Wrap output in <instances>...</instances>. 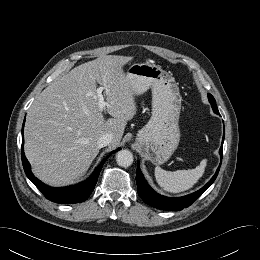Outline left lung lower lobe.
<instances>
[{"label":"left lung lower lobe","instance_id":"obj_1","mask_svg":"<svg viewBox=\"0 0 260 260\" xmlns=\"http://www.w3.org/2000/svg\"><path fill=\"white\" fill-rule=\"evenodd\" d=\"M223 141H224V135L222 140V145L219 150L221 160H222V153H223ZM221 165V164H220ZM220 166L218 167L215 175L211 178V180L200 190L197 192H194L192 194L178 197V198H168L165 196H161L157 194L145 181L139 167L137 168L136 173V182H137V191L139 196L142 198V200L153 207H156L161 210H182L183 208H187L190 206L203 192L207 190V188L215 181L218 172H219Z\"/></svg>","mask_w":260,"mask_h":260}]
</instances>
